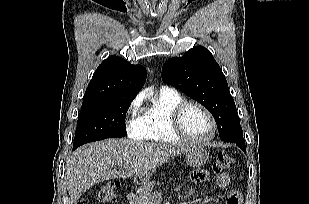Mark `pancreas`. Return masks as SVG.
<instances>
[{
	"label": "pancreas",
	"instance_id": "cf45deb5",
	"mask_svg": "<svg viewBox=\"0 0 309 204\" xmlns=\"http://www.w3.org/2000/svg\"><path fill=\"white\" fill-rule=\"evenodd\" d=\"M155 185V181L147 182L142 185L140 192L134 195L136 201L142 204H151V191Z\"/></svg>",
	"mask_w": 309,
	"mask_h": 204
}]
</instances>
